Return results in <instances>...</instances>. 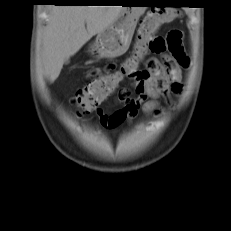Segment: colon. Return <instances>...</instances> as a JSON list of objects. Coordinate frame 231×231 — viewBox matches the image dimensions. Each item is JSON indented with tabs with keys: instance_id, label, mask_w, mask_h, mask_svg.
I'll list each match as a JSON object with an SVG mask.
<instances>
[{
	"instance_id": "5ec220e1",
	"label": "colon",
	"mask_w": 231,
	"mask_h": 231,
	"mask_svg": "<svg viewBox=\"0 0 231 231\" xmlns=\"http://www.w3.org/2000/svg\"><path fill=\"white\" fill-rule=\"evenodd\" d=\"M179 15V11L174 8L164 7L150 10L139 23L132 54L118 67L96 76L77 91L74 102L80 109V113L95 110L100 103L117 90L123 80H143L145 77L144 70L141 68L143 59L149 53L159 54L167 50L165 39L156 35L158 29L175 20Z\"/></svg>"
}]
</instances>
